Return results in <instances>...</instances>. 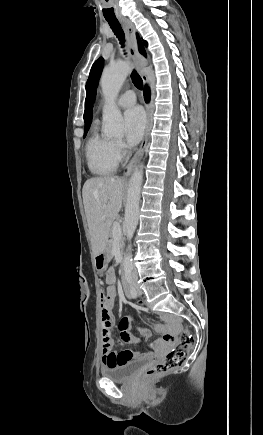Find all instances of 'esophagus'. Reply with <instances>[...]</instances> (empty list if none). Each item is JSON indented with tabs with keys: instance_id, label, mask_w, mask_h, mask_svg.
I'll use <instances>...</instances> for the list:
<instances>
[{
	"instance_id": "1",
	"label": "esophagus",
	"mask_w": 263,
	"mask_h": 435,
	"mask_svg": "<svg viewBox=\"0 0 263 435\" xmlns=\"http://www.w3.org/2000/svg\"><path fill=\"white\" fill-rule=\"evenodd\" d=\"M121 23L123 25V28L126 33L127 41H128V50L131 58L133 59L135 66L139 72H142V70L145 68V62L140 55L137 47V40H136V34H135V28L133 23L126 18H122ZM142 79L145 84L148 83V78L144 75H142ZM149 128H150V106L146 104V126H145V132L142 139V142L140 144V147L138 148L137 152L131 159L130 163L128 164L127 171L124 173V177L128 175L129 172L132 171L134 166L137 164V162L141 159L143 156L144 150L146 148L147 142H148V134H149Z\"/></svg>"
}]
</instances>
